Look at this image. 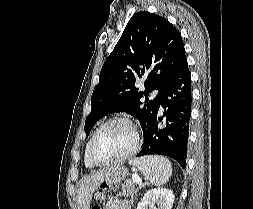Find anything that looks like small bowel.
I'll use <instances>...</instances> for the list:
<instances>
[{"instance_id":"c3829d8e","label":"small bowel","mask_w":253,"mask_h":209,"mask_svg":"<svg viewBox=\"0 0 253 209\" xmlns=\"http://www.w3.org/2000/svg\"><path fill=\"white\" fill-rule=\"evenodd\" d=\"M103 209H129V205L126 201H121L118 198H111Z\"/></svg>"}]
</instances>
